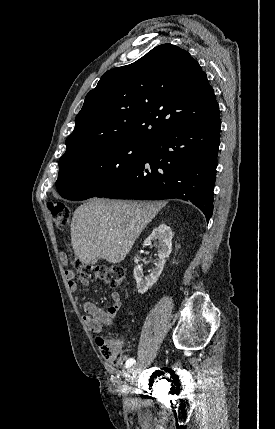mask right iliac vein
Masks as SVG:
<instances>
[{
    "mask_svg": "<svg viewBox=\"0 0 275 429\" xmlns=\"http://www.w3.org/2000/svg\"><path fill=\"white\" fill-rule=\"evenodd\" d=\"M137 369H138V365H135L128 370L127 375H126V383L127 384H129L131 382V380L133 379L134 375L137 372ZM125 390H127V385H126ZM126 399H128V397H126Z\"/></svg>",
    "mask_w": 275,
    "mask_h": 429,
    "instance_id": "63e3f726",
    "label": "right iliac vein"
}]
</instances>
